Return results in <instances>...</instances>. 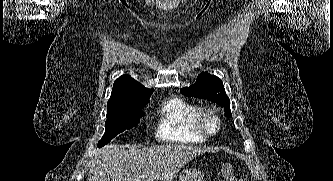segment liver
I'll return each instance as SVG.
<instances>
[{"label": "liver", "mask_w": 333, "mask_h": 181, "mask_svg": "<svg viewBox=\"0 0 333 181\" xmlns=\"http://www.w3.org/2000/svg\"><path fill=\"white\" fill-rule=\"evenodd\" d=\"M206 149L166 144L146 148L110 144L97 151L87 181H173L179 170Z\"/></svg>", "instance_id": "liver-1"}]
</instances>
